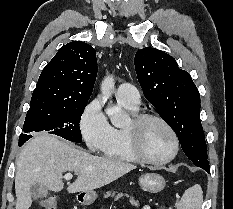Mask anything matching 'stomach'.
Returning a JSON list of instances; mask_svg holds the SVG:
<instances>
[{
  "instance_id": "1",
  "label": "stomach",
  "mask_w": 233,
  "mask_h": 209,
  "mask_svg": "<svg viewBox=\"0 0 233 209\" xmlns=\"http://www.w3.org/2000/svg\"><path fill=\"white\" fill-rule=\"evenodd\" d=\"M165 179L158 173H145L139 177V185L144 191L157 193L165 187ZM97 198L95 192H85L82 203L92 204Z\"/></svg>"
}]
</instances>
